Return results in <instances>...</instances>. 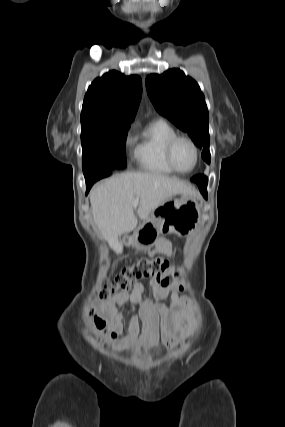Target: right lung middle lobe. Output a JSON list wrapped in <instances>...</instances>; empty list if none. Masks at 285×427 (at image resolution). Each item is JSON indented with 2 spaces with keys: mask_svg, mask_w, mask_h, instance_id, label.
<instances>
[{
  "mask_svg": "<svg viewBox=\"0 0 285 427\" xmlns=\"http://www.w3.org/2000/svg\"><path fill=\"white\" fill-rule=\"evenodd\" d=\"M131 123H81L82 167L85 180L126 167L125 141Z\"/></svg>",
  "mask_w": 285,
  "mask_h": 427,
  "instance_id": "obj_1",
  "label": "right lung middle lobe"
}]
</instances>
